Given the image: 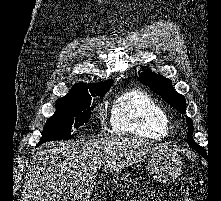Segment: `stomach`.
Returning a JSON list of instances; mask_svg holds the SVG:
<instances>
[{
    "instance_id": "obj_1",
    "label": "stomach",
    "mask_w": 221,
    "mask_h": 201,
    "mask_svg": "<svg viewBox=\"0 0 221 201\" xmlns=\"http://www.w3.org/2000/svg\"><path fill=\"white\" fill-rule=\"evenodd\" d=\"M182 160L175 151L157 152L148 158L147 169L150 176L157 182L170 184L182 172Z\"/></svg>"
}]
</instances>
